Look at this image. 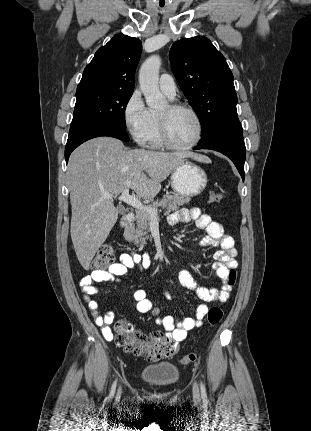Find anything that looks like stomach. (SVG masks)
Listing matches in <instances>:
<instances>
[{
  "label": "stomach",
  "instance_id": "0dacf381",
  "mask_svg": "<svg viewBox=\"0 0 311 431\" xmlns=\"http://www.w3.org/2000/svg\"><path fill=\"white\" fill-rule=\"evenodd\" d=\"M208 178L206 172L193 162H183L173 170L170 176V184L173 192L177 196L184 198H194L204 192Z\"/></svg>",
  "mask_w": 311,
  "mask_h": 431
}]
</instances>
